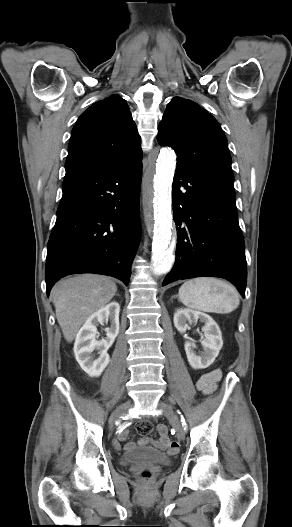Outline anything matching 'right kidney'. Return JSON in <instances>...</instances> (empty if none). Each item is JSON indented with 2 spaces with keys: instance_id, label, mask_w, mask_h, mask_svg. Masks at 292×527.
Wrapping results in <instances>:
<instances>
[{
  "instance_id": "right-kidney-1",
  "label": "right kidney",
  "mask_w": 292,
  "mask_h": 527,
  "mask_svg": "<svg viewBox=\"0 0 292 527\" xmlns=\"http://www.w3.org/2000/svg\"><path fill=\"white\" fill-rule=\"evenodd\" d=\"M120 305L111 302L92 314L79 330L75 344L74 354L81 368L91 377H98L108 365L110 358L107 350L112 346L119 334ZM110 321L106 328V338L96 340L97 325ZM97 350L99 356L95 358L93 351Z\"/></svg>"
}]
</instances>
